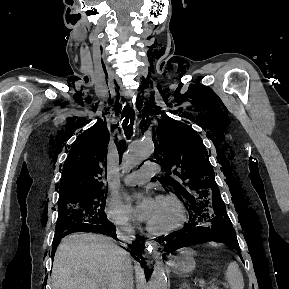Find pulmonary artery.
Wrapping results in <instances>:
<instances>
[{
	"label": "pulmonary artery",
	"mask_w": 289,
	"mask_h": 289,
	"mask_svg": "<svg viewBox=\"0 0 289 289\" xmlns=\"http://www.w3.org/2000/svg\"><path fill=\"white\" fill-rule=\"evenodd\" d=\"M159 170L160 167L157 163L148 161L140 169L126 175L123 182L130 186L141 185L149 181Z\"/></svg>",
	"instance_id": "obj_1"
}]
</instances>
